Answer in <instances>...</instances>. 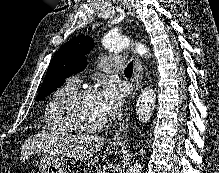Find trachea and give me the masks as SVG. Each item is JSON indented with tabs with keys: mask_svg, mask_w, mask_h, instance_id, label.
Segmentation results:
<instances>
[{
	"mask_svg": "<svg viewBox=\"0 0 219 173\" xmlns=\"http://www.w3.org/2000/svg\"><path fill=\"white\" fill-rule=\"evenodd\" d=\"M133 73V61H131L125 69V74L132 75Z\"/></svg>",
	"mask_w": 219,
	"mask_h": 173,
	"instance_id": "3493384b",
	"label": "trachea"
}]
</instances>
